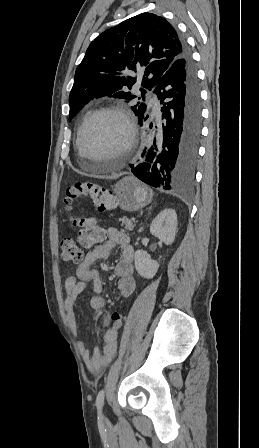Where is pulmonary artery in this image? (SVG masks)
Returning a JSON list of instances; mask_svg holds the SVG:
<instances>
[{
    "label": "pulmonary artery",
    "instance_id": "e3ab8cb5",
    "mask_svg": "<svg viewBox=\"0 0 259 448\" xmlns=\"http://www.w3.org/2000/svg\"><path fill=\"white\" fill-rule=\"evenodd\" d=\"M151 104L153 105V108L155 111H160V101L156 97H152L150 99Z\"/></svg>",
    "mask_w": 259,
    "mask_h": 448
}]
</instances>
